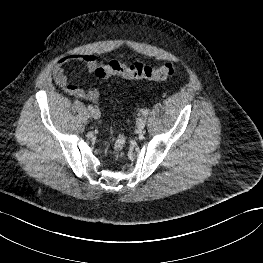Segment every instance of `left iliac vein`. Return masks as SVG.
Here are the masks:
<instances>
[{"label":"left iliac vein","instance_id":"left-iliac-vein-1","mask_svg":"<svg viewBox=\"0 0 263 263\" xmlns=\"http://www.w3.org/2000/svg\"><path fill=\"white\" fill-rule=\"evenodd\" d=\"M146 125V118L144 116H141L136 121V126L138 129H143Z\"/></svg>","mask_w":263,"mask_h":263}]
</instances>
